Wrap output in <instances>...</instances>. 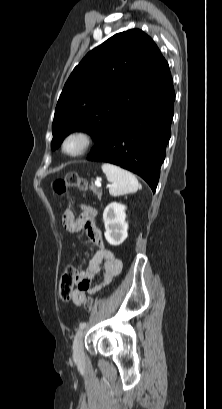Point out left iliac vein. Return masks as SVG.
I'll return each instance as SVG.
<instances>
[{
    "instance_id": "obj_1",
    "label": "left iliac vein",
    "mask_w": 222,
    "mask_h": 409,
    "mask_svg": "<svg viewBox=\"0 0 222 409\" xmlns=\"http://www.w3.org/2000/svg\"><path fill=\"white\" fill-rule=\"evenodd\" d=\"M83 335H84V331L80 330L75 338H74V342H73V354H74V358L75 359H79L81 358L82 354H83Z\"/></svg>"
}]
</instances>
